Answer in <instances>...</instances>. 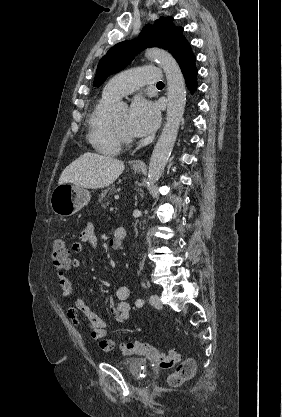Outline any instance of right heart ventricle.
<instances>
[{
	"label": "right heart ventricle",
	"instance_id": "obj_1",
	"mask_svg": "<svg viewBox=\"0 0 282 417\" xmlns=\"http://www.w3.org/2000/svg\"><path fill=\"white\" fill-rule=\"evenodd\" d=\"M114 99L103 96L95 105L88 119V140L99 151L107 154L116 152L120 142L111 124L110 106Z\"/></svg>",
	"mask_w": 282,
	"mask_h": 417
}]
</instances>
